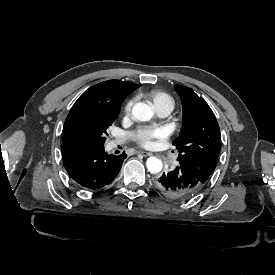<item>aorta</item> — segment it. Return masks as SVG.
I'll use <instances>...</instances> for the list:
<instances>
[{
	"instance_id": "obj_1",
	"label": "aorta",
	"mask_w": 275,
	"mask_h": 275,
	"mask_svg": "<svg viewBox=\"0 0 275 275\" xmlns=\"http://www.w3.org/2000/svg\"><path fill=\"white\" fill-rule=\"evenodd\" d=\"M131 114L134 119L138 121H148L153 115V110L150 106L145 103L137 102L134 104L131 110ZM147 170L151 174H157L162 171L163 163L162 160L156 157H149L146 161Z\"/></svg>"
}]
</instances>
